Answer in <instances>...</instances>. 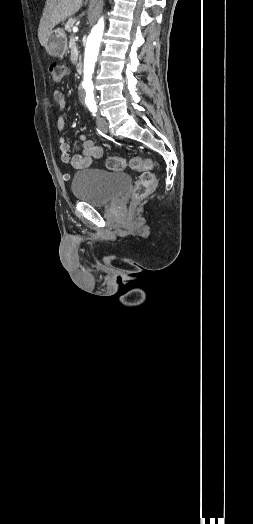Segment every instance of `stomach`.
Segmentation results:
<instances>
[{"label":"stomach","mask_w":253,"mask_h":524,"mask_svg":"<svg viewBox=\"0 0 253 524\" xmlns=\"http://www.w3.org/2000/svg\"><path fill=\"white\" fill-rule=\"evenodd\" d=\"M45 49L52 57L62 58L64 56L67 49V37L62 28L51 30Z\"/></svg>","instance_id":"obj_1"}]
</instances>
